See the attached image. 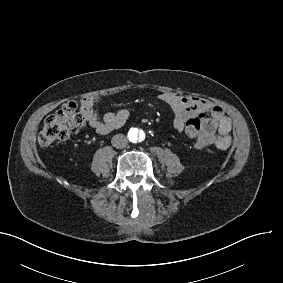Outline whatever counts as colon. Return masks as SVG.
I'll use <instances>...</instances> for the list:
<instances>
[{
    "mask_svg": "<svg viewBox=\"0 0 283 283\" xmlns=\"http://www.w3.org/2000/svg\"><path fill=\"white\" fill-rule=\"evenodd\" d=\"M75 106L76 101L70 100L69 106H65L47 117L38 137L40 144L48 145L53 142L64 141L70 137L74 130L80 129L85 125V118ZM186 122L185 134L191 136L194 141L199 140L200 121L189 116Z\"/></svg>",
    "mask_w": 283,
    "mask_h": 283,
    "instance_id": "5ec220e1",
    "label": "colon"
}]
</instances>
